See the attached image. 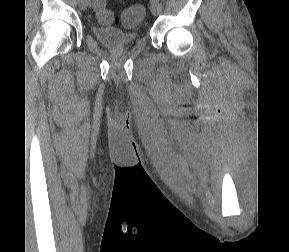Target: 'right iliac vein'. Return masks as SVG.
Listing matches in <instances>:
<instances>
[{
    "mask_svg": "<svg viewBox=\"0 0 289 252\" xmlns=\"http://www.w3.org/2000/svg\"><path fill=\"white\" fill-rule=\"evenodd\" d=\"M79 1V7L82 10H85L89 5L91 0H78Z\"/></svg>",
    "mask_w": 289,
    "mask_h": 252,
    "instance_id": "right-iliac-vein-1",
    "label": "right iliac vein"
}]
</instances>
